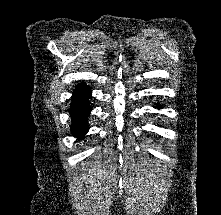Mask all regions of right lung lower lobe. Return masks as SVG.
I'll list each match as a JSON object with an SVG mask.
<instances>
[{
  "mask_svg": "<svg viewBox=\"0 0 221 215\" xmlns=\"http://www.w3.org/2000/svg\"><path fill=\"white\" fill-rule=\"evenodd\" d=\"M90 95L91 91L84 83L79 84L74 90L70 107L71 131L74 136L82 137L88 131L87 117L91 110L88 103Z\"/></svg>",
  "mask_w": 221,
  "mask_h": 215,
  "instance_id": "obj_1",
  "label": "right lung lower lobe"
}]
</instances>
